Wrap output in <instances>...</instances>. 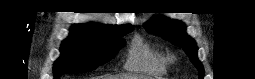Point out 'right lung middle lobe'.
<instances>
[{
    "mask_svg": "<svg viewBox=\"0 0 255 79\" xmlns=\"http://www.w3.org/2000/svg\"><path fill=\"white\" fill-rule=\"evenodd\" d=\"M127 27L116 38L71 33L61 45V57L55 62V79L68 72L90 71L111 60L125 46L122 36L132 31Z\"/></svg>",
    "mask_w": 255,
    "mask_h": 79,
    "instance_id": "obj_1",
    "label": "right lung middle lobe"
}]
</instances>
